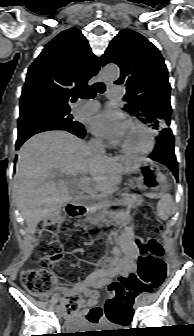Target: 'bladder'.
Here are the masks:
<instances>
[{
    "mask_svg": "<svg viewBox=\"0 0 194 336\" xmlns=\"http://www.w3.org/2000/svg\"><path fill=\"white\" fill-rule=\"evenodd\" d=\"M66 327H69L68 329L71 331H78L86 328V323L79 321V320H70Z\"/></svg>",
    "mask_w": 194,
    "mask_h": 336,
    "instance_id": "31cf9c89",
    "label": "bladder"
}]
</instances>
